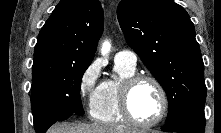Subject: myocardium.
I'll list each match as a JSON object with an SVG mask.
<instances>
[{
	"instance_id": "obj_1",
	"label": "myocardium",
	"mask_w": 221,
	"mask_h": 133,
	"mask_svg": "<svg viewBox=\"0 0 221 133\" xmlns=\"http://www.w3.org/2000/svg\"><path fill=\"white\" fill-rule=\"evenodd\" d=\"M142 81H149L155 85L157 88L160 98H161V109L157 117L151 121H140L138 120L131 111L130 107V98H131V93L134 89V87L142 82ZM119 107L122 116L125 118L126 121L129 123L138 126V127H153L157 124H159L163 118L165 117L167 111H168V97L166 90L162 83L155 78L152 75H146V74H134L131 77L126 78L119 90Z\"/></svg>"
}]
</instances>
